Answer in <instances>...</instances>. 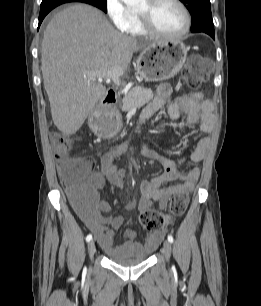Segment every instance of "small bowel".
Returning <instances> with one entry per match:
<instances>
[{
	"label": "small bowel",
	"mask_w": 261,
	"mask_h": 306,
	"mask_svg": "<svg viewBox=\"0 0 261 306\" xmlns=\"http://www.w3.org/2000/svg\"><path fill=\"white\" fill-rule=\"evenodd\" d=\"M166 105L167 115L172 120L183 113L187 116L188 126H195L199 123L204 131H209L213 126V104L206 100L201 93L191 92L173 96L171 86L163 84L158 88L156 96L143 108L139 117V127ZM209 145V137L204 136L187 157L182 156L179 160H175L158 153L145 143H141L140 155L161 161L164 173L152 180H144L140 183L139 208L142 210L148 209L156 203L160 209H163L175 193L192 191L199 178L200 168L194 166L188 172L183 173L179 170L178 163L186 158L196 164L202 162ZM128 150L129 143L126 142L108 150L101 159V172L96 170L93 159L82 158L86 161L89 169L87 181L93 191V196L82 204L80 216L88 229L94 234L103 251L112 257L132 255L143 251L151 252L162 242L166 233L165 230H161L149 234L146 244L143 246L135 241V232L130 229L126 232L128 241L120 246H113L114 231L122 225L124 218L103 215L110 210V205L106 200L99 197V191L107 183L117 188L123 186L124 170L118 165V161ZM68 159L73 158H63L59 155L57 161L59 170ZM172 181H180V183L163 187L164 184Z\"/></svg>",
	"instance_id": "1"
}]
</instances>
